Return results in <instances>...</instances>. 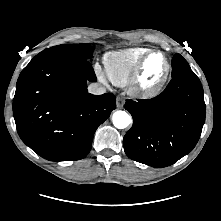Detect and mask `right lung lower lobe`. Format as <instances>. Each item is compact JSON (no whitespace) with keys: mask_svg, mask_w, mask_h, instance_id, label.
Wrapping results in <instances>:
<instances>
[{"mask_svg":"<svg viewBox=\"0 0 221 221\" xmlns=\"http://www.w3.org/2000/svg\"><path fill=\"white\" fill-rule=\"evenodd\" d=\"M88 60L33 58L22 70L13 115L22 141L50 161H74L91 150L94 133L116 108L112 93L92 95Z\"/></svg>","mask_w":221,"mask_h":221,"instance_id":"98d812e1","label":"right lung lower lobe"}]
</instances>
